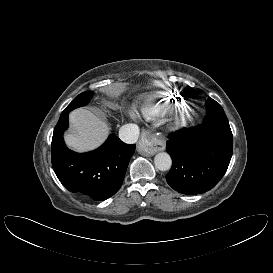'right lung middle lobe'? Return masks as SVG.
Returning a JSON list of instances; mask_svg holds the SVG:
<instances>
[{"instance_id":"obj_1","label":"right lung middle lobe","mask_w":273,"mask_h":273,"mask_svg":"<svg viewBox=\"0 0 273 273\" xmlns=\"http://www.w3.org/2000/svg\"><path fill=\"white\" fill-rule=\"evenodd\" d=\"M90 92H83L81 94H79L67 107L66 109L62 112L61 115L69 113L70 111H72L75 108L84 106L88 103V101L90 100L91 97Z\"/></svg>"}]
</instances>
